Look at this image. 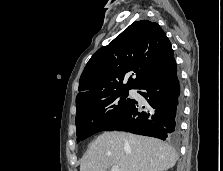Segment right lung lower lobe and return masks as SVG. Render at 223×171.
Instances as JSON below:
<instances>
[{"mask_svg":"<svg viewBox=\"0 0 223 171\" xmlns=\"http://www.w3.org/2000/svg\"><path fill=\"white\" fill-rule=\"evenodd\" d=\"M137 89L143 90L139 93L147 100L148 108L140 112L134 100L128 110L103 131L119 130L175 140L182 112L175 59Z\"/></svg>","mask_w":223,"mask_h":171,"instance_id":"obj_1","label":"right lung lower lobe"}]
</instances>
